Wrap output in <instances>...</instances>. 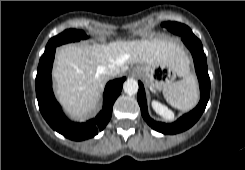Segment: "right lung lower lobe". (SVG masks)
<instances>
[{
    "mask_svg": "<svg viewBox=\"0 0 245 170\" xmlns=\"http://www.w3.org/2000/svg\"><path fill=\"white\" fill-rule=\"evenodd\" d=\"M56 47L44 52L42 55L36 76V96L40 112L47 123L57 132L71 140L81 141L98 134L105 128L112 115V107L121 93L124 78L110 81L104 91V103L102 111L96 118L84 122H72L63 114L57 103L53 91L51 70Z\"/></svg>",
    "mask_w": 245,
    "mask_h": 170,
    "instance_id": "obj_1",
    "label": "right lung lower lobe"
}]
</instances>
